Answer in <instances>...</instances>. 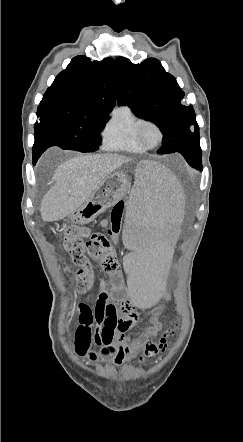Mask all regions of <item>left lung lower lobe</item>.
Returning <instances> with one entry per match:
<instances>
[{"instance_id": "0a47b994", "label": "left lung lower lobe", "mask_w": 243, "mask_h": 442, "mask_svg": "<svg viewBox=\"0 0 243 442\" xmlns=\"http://www.w3.org/2000/svg\"><path fill=\"white\" fill-rule=\"evenodd\" d=\"M201 148H197L194 151L190 152L189 154H185L184 158L186 159V161L191 165L194 164L196 162H200L201 163Z\"/></svg>"}]
</instances>
